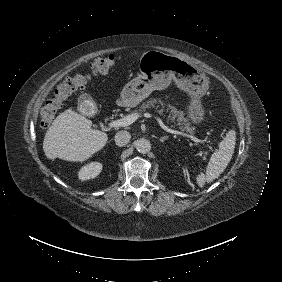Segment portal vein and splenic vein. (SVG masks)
<instances>
[{
  "mask_svg": "<svg viewBox=\"0 0 282 282\" xmlns=\"http://www.w3.org/2000/svg\"><path fill=\"white\" fill-rule=\"evenodd\" d=\"M144 116L150 117L152 118V121L158 122V124L161 126L162 129L171 133L174 137H184V138H187L188 140H191L194 144L204 145L208 150H211V151L215 150V147L209 144L207 141H205L204 137H203V140H200L197 137L191 136L189 133L175 131V129L172 126H169L167 123L162 121V119L153 118V114L145 113ZM138 118H139V115L137 113L129 114L128 116L122 119H118V120L110 122L108 125L110 128L125 127V126H128L134 123Z\"/></svg>",
  "mask_w": 282,
  "mask_h": 282,
  "instance_id": "1",
  "label": "portal vein and splenic vein"
}]
</instances>
